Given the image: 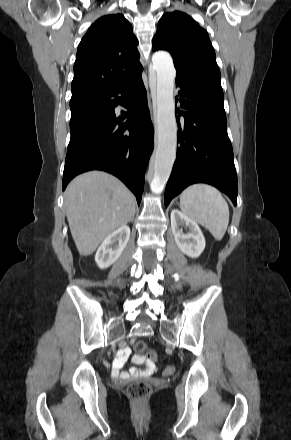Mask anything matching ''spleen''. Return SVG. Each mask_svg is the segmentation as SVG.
Masks as SVG:
<instances>
[{"instance_id": "1", "label": "spleen", "mask_w": 291, "mask_h": 440, "mask_svg": "<svg viewBox=\"0 0 291 440\" xmlns=\"http://www.w3.org/2000/svg\"><path fill=\"white\" fill-rule=\"evenodd\" d=\"M180 208L208 229L217 241L222 240L229 223V207L215 187L207 184L187 187L180 196Z\"/></svg>"}]
</instances>
